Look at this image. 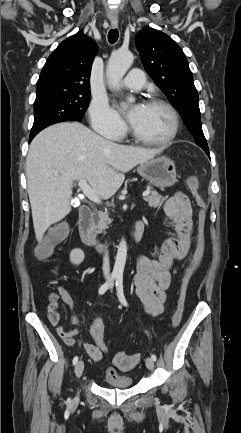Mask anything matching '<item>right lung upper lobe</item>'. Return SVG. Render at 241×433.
<instances>
[{
  "instance_id": "obj_1",
  "label": "right lung upper lobe",
  "mask_w": 241,
  "mask_h": 433,
  "mask_svg": "<svg viewBox=\"0 0 241 433\" xmlns=\"http://www.w3.org/2000/svg\"><path fill=\"white\" fill-rule=\"evenodd\" d=\"M97 44L78 32L48 57L36 84V98L48 95L90 94V72Z\"/></svg>"
}]
</instances>
